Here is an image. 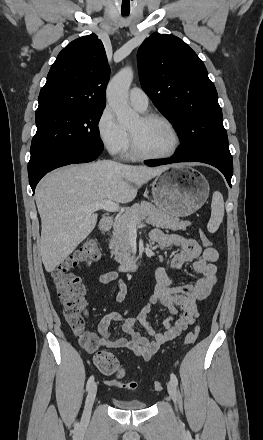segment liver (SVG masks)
<instances>
[{
    "instance_id": "1",
    "label": "liver",
    "mask_w": 263,
    "mask_h": 440,
    "mask_svg": "<svg viewBox=\"0 0 263 440\" xmlns=\"http://www.w3.org/2000/svg\"><path fill=\"white\" fill-rule=\"evenodd\" d=\"M169 168L102 160L47 175L35 193L42 227L40 253L46 271L52 272L95 228L97 213H88L83 207L105 200L131 202L143 184Z\"/></svg>"
}]
</instances>
